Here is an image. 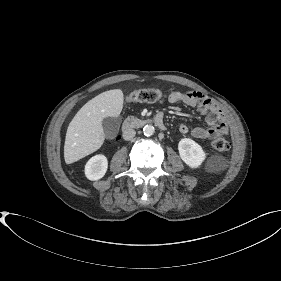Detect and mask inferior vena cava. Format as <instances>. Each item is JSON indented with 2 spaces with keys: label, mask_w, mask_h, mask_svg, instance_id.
<instances>
[{
  "label": "inferior vena cava",
  "mask_w": 281,
  "mask_h": 281,
  "mask_svg": "<svg viewBox=\"0 0 281 281\" xmlns=\"http://www.w3.org/2000/svg\"><path fill=\"white\" fill-rule=\"evenodd\" d=\"M136 132L134 129H127L123 132V139L124 140H131L134 138Z\"/></svg>",
  "instance_id": "1"
}]
</instances>
